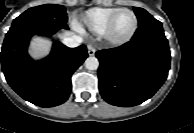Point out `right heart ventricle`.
<instances>
[{"label": "right heart ventricle", "instance_id": "e07e8e85", "mask_svg": "<svg viewBox=\"0 0 194 133\" xmlns=\"http://www.w3.org/2000/svg\"><path fill=\"white\" fill-rule=\"evenodd\" d=\"M119 7H95L86 11L80 17V23L92 33L100 35L107 20Z\"/></svg>", "mask_w": 194, "mask_h": 133}]
</instances>
